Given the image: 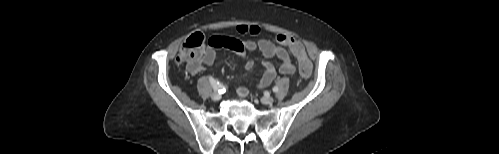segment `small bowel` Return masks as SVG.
<instances>
[{
  "label": "small bowel",
  "instance_id": "obj_1",
  "mask_svg": "<svg viewBox=\"0 0 499 154\" xmlns=\"http://www.w3.org/2000/svg\"><path fill=\"white\" fill-rule=\"evenodd\" d=\"M237 31L242 35H257L260 30L255 25H239ZM220 48H227L236 52L243 59L246 70H251L254 66V62L247 57L248 51L259 50L267 59L276 57L279 61L278 67L269 60L263 62L264 74L257 85L260 88L270 85L275 79L277 72L283 75H290L295 71V66L289 52L283 46L275 45L268 39L261 38L254 41L250 39L241 40L229 36H213L208 40L201 63L198 66H188L189 72L195 75L203 66L211 65L215 59L216 51ZM247 94V88L243 86L237 88V95L240 98L246 97Z\"/></svg>",
  "mask_w": 499,
  "mask_h": 154
}]
</instances>
